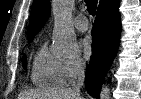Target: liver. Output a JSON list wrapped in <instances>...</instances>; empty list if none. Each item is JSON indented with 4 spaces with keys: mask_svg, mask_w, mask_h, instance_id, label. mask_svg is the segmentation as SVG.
Masks as SVG:
<instances>
[{
    "mask_svg": "<svg viewBox=\"0 0 141 99\" xmlns=\"http://www.w3.org/2000/svg\"><path fill=\"white\" fill-rule=\"evenodd\" d=\"M18 99H82L80 90L75 88L62 89L58 91L26 90L19 94Z\"/></svg>",
    "mask_w": 141,
    "mask_h": 99,
    "instance_id": "1",
    "label": "liver"
}]
</instances>
